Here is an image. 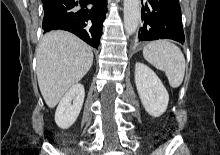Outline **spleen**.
<instances>
[{
	"mask_svg": "<svg viewBox=\"0 0 220 155\" xmlns=\"http://www.w3.org/2000/svg\"><path fill=\"white\" fill-rule=\"evenodd\" d=\"M144 58L156 69L164 71L172 88H178L185 75V58L178 46L169 40H156L143 49Z\"/></svg>",
	"mask_w": 220,
	"mask_h": 155,
	"instance_id": "1",
	"label": "spleen"
}]
</instances>
